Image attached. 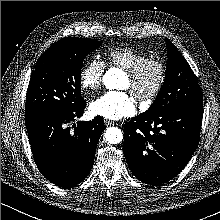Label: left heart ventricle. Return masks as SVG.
<instances>
[{"mask_svg": "<svg viewBox=\"0 0 220 220\" xmlns=\"http://www.w3.org/2000/svg\"><path fill=\"white\" fill-rule=\"evenodd\" d=\"M157 78V70L154 67L149 68L138 82H133L127 75L122 84V88L136 90L138 88L148 89L152 87Z\"/></svg>", "mask_w": 220, "mask_h": 220, "instance_id": "obj_1", "label": "left heart ventricle"}]
</instances>
